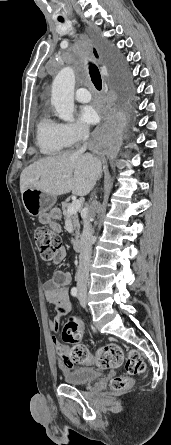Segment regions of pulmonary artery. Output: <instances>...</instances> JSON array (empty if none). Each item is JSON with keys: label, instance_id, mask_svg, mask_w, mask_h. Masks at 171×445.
<instances>
[{"label": "pulmonary artery", "instance_id": "pulmonary-artery-1", "mask_svg": "<svg viewBox=\"0 0 171 445\" xmlns=\"http://www.w3.org/2000/svg\"><path fill=\"white\" fill-rule=\"evenodd\" d=\"M76 100L81 103H87L91 100V95L86 88H79L75 94Z\"/></svg>", "mask_w": 171, "mask_h": 445}]
</instances>
